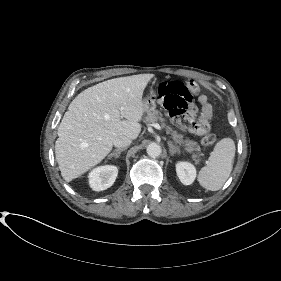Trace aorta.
<instances>
[{
  "instance_id": "1",
  "label": "aorta",
  "mask_w": 281,
  "mask_h": 281,
  "mask_svg": "<svg viewBox=\"0 0 281 281\" xmlns=\"http://www.w3.org/2000/svg\"><path fill=\"white\" fill-rule=\"evenodd\" d=\"M147 154L152 157V158H155V157H158L161 155L162 153V148L159 144L157 143H150L148 146H147Z\"/></svg>"
}]
</instances>
